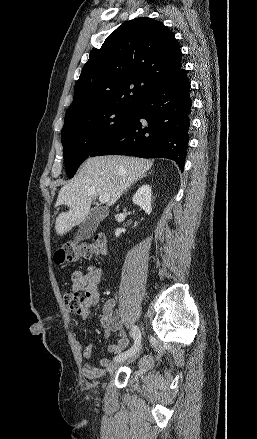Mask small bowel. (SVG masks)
I'll use <instances>...</instances> for the list:
<instances>
[{"mask_svg": "<svg viewBox=\"0 0 257 439\" xmlns=\"http://www.w3.org/2000/svg\"><path fill=\"white\" fill-rule=\"evenodd\" d=\"M100 279L101 272L97 268H89L85 272L74 271L71 275L73 291H82L86 297L84 309L79 313L83 319L88 318L90 309L96 307L100 302V293L98 290ZM114 308L115 300L108 299L104 302L100 316V325L104 330V336L106 338H111L118 334V340L115 343L110 344L107 351L119 355L129 346L130 341L115 314ZM92 354L93 346L91 344L83 347L82 357L84 360L88 361ZM111 364L112 361L107 358L99 360V367L85 363L83 374L87 379L100 378L105 375Z\"/></svg>", "mask_w": 257, "mask_h": 439, "instance_id": "1", "label": "small bowel"}]
</instances>
